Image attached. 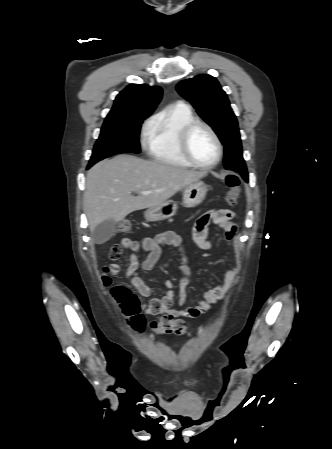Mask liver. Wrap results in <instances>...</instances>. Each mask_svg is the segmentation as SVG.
<instances>
[{
	"label": "liver",
	"mask_w": 332,
	"mask_h": 449,
	"mask_svg": "<svg viewBox=\"0 0 332 449\" xmlns=\"http://www.w3.org/2000/svg\"><path fill=\"white\" fill-rule=\"evenodd\" d=\"M205 176L206 172L130 155L103 160L88 171L86 178L83 206L90 230L104 221L118 222L131 212L160 205ZM143 191L151 193L144 195Z\"/></svg>",
	"instance_id": "1"
}]
</instances>
